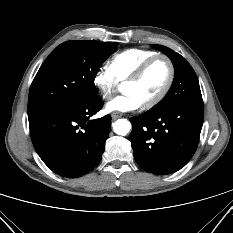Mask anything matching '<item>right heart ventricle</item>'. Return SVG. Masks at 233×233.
<instances>
[{"mask_svg":"<svg viewBox=\"0 0 233 233\" xmlns=\"http://www.w3.org/2000/svg\"><path fill=\"white\" fill-rule=\"evenodd\" d=\"M158 54L148 49H127L114 55L108 62V69L116 81L123 82L148 58Z\"/></svg>","mask_w":233,"mask_h":233,"instance_id":"right-heart-ventricle-1","label":"right heart ventricle"}]
</instances>
